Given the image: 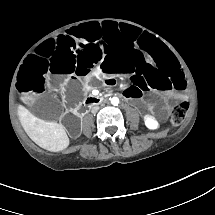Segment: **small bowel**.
Segmentation results:
<instances>
[{
    "instance_id": "c3829d8e",
    "label": "small bowel",
    "mask_w": 215,
    "mask_h": 215,
    "mask_svg": "<svg viewBox=\"0 0 215 215\" xmlns=\"http://www.w3.org/2000/svg\"><path fill=\"white\" fill-rule=\"evenodd\" d=\"M124 96L129 98H134L135 94L132 91H124Z\"/></svg>"
}]
</instances>
